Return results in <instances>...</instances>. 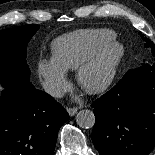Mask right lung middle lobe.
I'll use <instances>...</instances> for the list:
<instances>
[{"label": "right lung middle lobe", "mask_w": 155, "mask_h": 155, "mask_svg": "<svg viewBox=\"0 0 155 155\" xmlns=\"http://www.w3.org/2000/svg\"><path fill=\"white\" fill-rule=\"evenodd\" d=\"M39 29L36 24L0 31V83L18 94L28 92L30 69L26 63L27 43Z\"/></svg>", "instance_id": "dd1d6c3e"}]
</instances>
